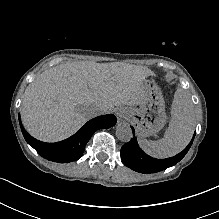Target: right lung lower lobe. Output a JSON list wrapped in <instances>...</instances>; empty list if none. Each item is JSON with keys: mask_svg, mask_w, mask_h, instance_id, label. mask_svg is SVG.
<instances>
[{"mask_svg": "<svg viewBox=\"0 0 219 219\" xmlns=\"http://www.w3.org/2000/svg\"><path fill=\"white\" fill-rule=\"evenodd\" d=\"M117 118L113 114L103 115L88 121L77 133L70 138L57 142L45 143L30 136L19 120L25 140L42 157L58 163L76 161L82 157L85 145L98 129H107L116 124Z\"/></svg>", "mask_w": 219, "mask_h": 219, "instance_id": "obj_1", "label": "right lung lower lobe"}]
</instances>
